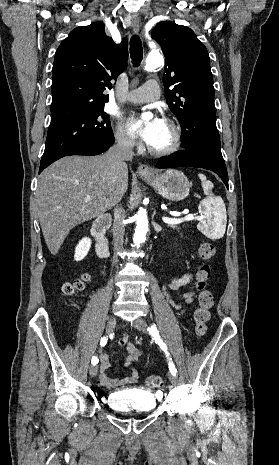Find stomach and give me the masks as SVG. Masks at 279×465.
<instances>
[{"label": "stomach", "instance_id": "1", "mask_svg": "<svg viewBox=\"0 0 279 465\" xmlns=\"http://www.w3.org/2000/svg\"><path fill=\"white\" fill-rule=\"evenodd\" d=\"M142 178L168 200L181 201L189 195L190 183L181 171L169 169L162 174Z\"/></svg>", "mask_w": 279, "mask_h": 465}]
</instances>
